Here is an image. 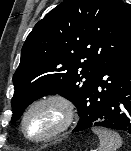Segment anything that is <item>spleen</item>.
I'll return each mask as SVG.
<instances>
[{
    "instance_id": "obj_1",
    "label": "spleen",
    "mask_w": 131,
    "mask_h": 151,
    "mask_svg": "<svg viewBox=\"0 0 131 151\" xmlns=\"http://www.w3.org/2000/svg\"><path fill=\"white\" fill-rule=\"evenodd\" d=\"M92 131L99 138L98 151H117L122 145V139L118 133L100 127H93Z\"/></svg>"
}]
</instances>
